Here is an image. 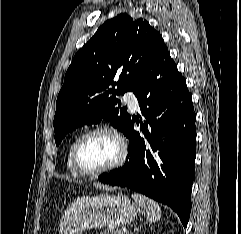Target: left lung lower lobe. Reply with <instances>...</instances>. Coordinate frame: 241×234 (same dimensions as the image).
<instances>
[{
	"label": "left lung lower lobe",
	"mask_w": 241,
	"mask_h": 234,
	"mask_svg": "<svg viewBox=\"0 0 241 234\" xmlns=\"http://www.w3.org/2000/svg\"><path fill=\"white\" fill-rule=\"evenodd\" d=\"M146 121L130 117L125 165L99 181L127 187L171 207L186 226L195 178L196 114L184 77L166 48L133 90ZM140 124L144 135L134 131Z\"/></svg>",
	"instance_id": "0a47b994"
}]
</instances>
